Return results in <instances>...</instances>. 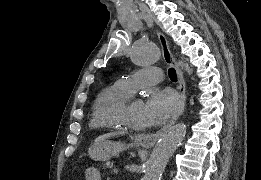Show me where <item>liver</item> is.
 <instances>
[{
    "label": "liver",
    "instance_id": "liver-1",
    "mask_svg": "<svg viewBox=\"0 0 261 180\" xmlns=\"http://www.w3.org/2000/svg\"><path fill=\"white\" fill-rule=\"evenodd\" d=\"M126 132H110V134H103V136H98L95 142H103V140H107V138H113V136H124Z\"/></svg>",
    "mask_w": 261,
    "mask_h": 180
}]
</instances>
